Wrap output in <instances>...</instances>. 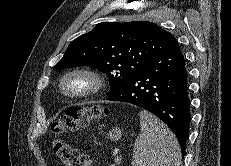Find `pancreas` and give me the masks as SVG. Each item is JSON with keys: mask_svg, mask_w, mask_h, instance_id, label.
<instances>
[{"mask_svg": "<svg viewBox=\"0 0 231 166\" xmlns=\"http://www.w3.org/2000/svg\"><path fill=\"white\" fill-rule=\"evenodd\" d=\"M115 163H116V164H119V163H117L116 161H115ZM110 166H115V165H110Z\"/></svg>", "mask_w": 231, "mask_h": 166, "instance_id": "cf45deb5", "label": "pancreas"}]
</instances>
